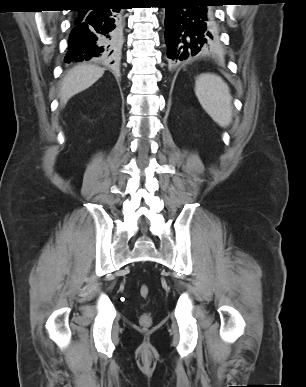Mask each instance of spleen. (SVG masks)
Wrapping results in <instances>:
<instances>
[{
    "label": "spleen",
    "mask_w": 306,
    "mask_h": 387,
    "mask_svg": "<svg viewBox=\"0 0 306 387\" xmlns=\"http://www.w3.org/2000/svg\"><path fill=\"white\" fill-rule=\"evenodd\" d=\"M195 94L208 115L221 127L232 121V97L228 85L215 74H202L195 83Z\"/></svg>",
    "instance_id": "3e777b00"
}]
</instances>
